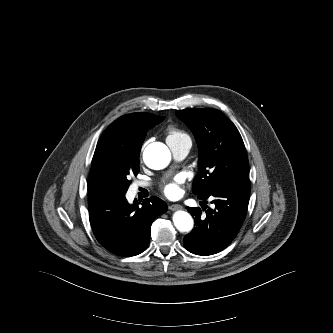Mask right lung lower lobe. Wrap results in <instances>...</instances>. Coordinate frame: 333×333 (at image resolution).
<instances>
[{"label": "right lung lower lobe", "mask_w": 333, "mask_h": 333, "mask_svg": "<svg viewBox=\"0 0 333 333\" xmlns=\"http://www.w3.org/2000/svg\"><path fill=\"white\" fill-rule=\"evenodd\" d=\"M130 205L125 195L89 198V219L99 243L120 256L143 252L150 238L151 224L156 216L167 211L166 203L158 197Z\"/></svg>", "instance_id": "obj_1"}]
</instances>
